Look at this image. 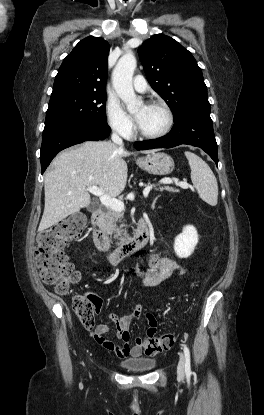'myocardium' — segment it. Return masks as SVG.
<instances>
[{"label": "myocardium", "instance_id": "1", "mask_svg": "<svg viewBox=\"0 0 264 415\" xmlns=\"http://www.w3.org/2000/svg\"><path fill=\"white\" fill-rule=\"evenodd\" d=\"M150 106H156L161 108L165 114H166V124L164 126V128L157 132V133H153V134H147L144 132H141L138 126V123H136V135L140 138H144V139H159L163 136H165L166 134H168L174 124V114L171 110V108L167 105V103H165L162 100H152L149 102Z\"/></svg>", "mask_w": 264, "mask_h": 415}]
</instances>
